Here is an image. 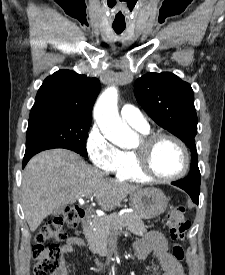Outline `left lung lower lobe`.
<instances>
[{
    "instance_id": "obj_1",
    "label": "left lung lower lobe",
    "mask_w": 225,
    "mask_h": 275,
    "mask_svg": "<svg viewBox=\"0 0 225 275\" xmlns=\"http://www.w3.org/2000/svg\"><path fill=\"white\" fill-rule=\"evenodd\" d=\"M200 182H201L200 177L189 175L188 177L182 180L172 182V184L185 190L190 195L193 202L198 204L199 193H200Z\"/></svg>"
}]
</instances>
